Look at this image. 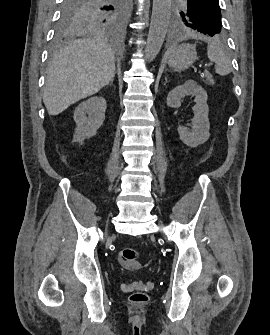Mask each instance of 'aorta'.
Returning a JSON list of instances; mask_svg holds the SVG:
<instances>
[{
    "mask_svg": "<svg viewBox=\"0 0 270 335\" xmlns=\"http://www.w3.org/2000/svg\"><path fill=\"white\" fill-rule=\"evenodd\" d=\"M172 0H153L151 24L147 38L145 58L154 60L161 50L166 36L170 16Z\"/></svg>",
    "mask_w": 270,
    "mask_h": 335,
    "instance_id": "obj_1",
    "label": "aorta"
}]
</instances>
